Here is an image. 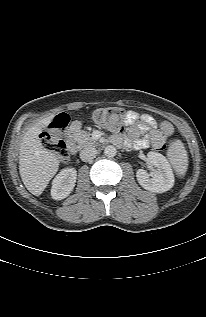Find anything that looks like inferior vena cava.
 Instances as JSON below:
<instances>
[{
  "label": "inferior vena cava",
  "mask_w": 206,
  "mask_h": 317,
  "mask_svg": "<svg viewBox=\"0 0 206 317\" xmlns=\"http://www.w3.org/2000/svg\"><path fill=\"white\" fill-rule=\"evenodd\" d=\"M97 150L94 147H85L80 151V158L84 162L91 161L95 158Z\"/></svg>",
  "instance_id": "1"
}]
</instances>
